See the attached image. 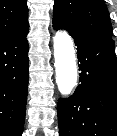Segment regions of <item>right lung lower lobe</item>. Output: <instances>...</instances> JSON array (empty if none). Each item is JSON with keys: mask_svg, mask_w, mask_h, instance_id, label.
<instances>
[{"mask_svg": "<svg viewBox=\"0 0 117 136\" xmlns=\"http://www.w3.org/2000/svg\"><path fill=\"white\" fill-rule=\"evenodd\" d=\"M29 26L0 40V136H22L28 86Z\"/></svg>", "mask_w": 117, "mask_h": 136, "instance_id": "98d812e1", "label": "right lung lower lobe"}]
</instances>
